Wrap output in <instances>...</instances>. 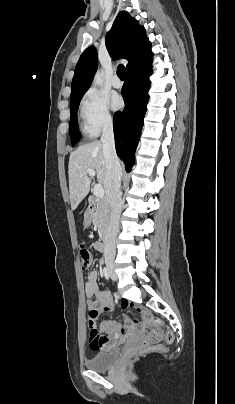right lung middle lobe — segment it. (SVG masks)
Returning <instances> with one entry per match:
<instances>
[{"instance_id":"dd1d6c3e","label":"right lung middle lobe","mask_w":235,"mask_h":404,"mask_svg":"<svg viewBox=\"0 0 235 404\" xmlns=\"http://www.w3.org/2000/svg\"><path fill=\"white\" fill-rule=\"evenodd\" d=\"M80 100L70 102L71 120H70V126H69V133H70V137H71V141H72L73 145L77 141H79V139L81 138V136L78 132V122H77V110L79 107Z\"/></svg>"}]
</instances>
